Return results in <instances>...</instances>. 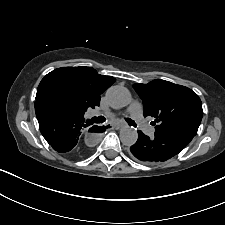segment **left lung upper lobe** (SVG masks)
<instances>
[{"mask_svg":"<svg viewBox=\"0 0 225 225\" xmlns=\"http://www.w3.org/2000/svg\"><path fill=\"white\" fill-rule=\"evenodd\" d=\"M133 87L143 100L144 116L155 118V134H197L203 110L193 90L161 79Z\"/></svg>","mask_w":225,"mask_h":225,"instance_id":"obj_1","label":"left lung upper lobe"}]
</instances>
